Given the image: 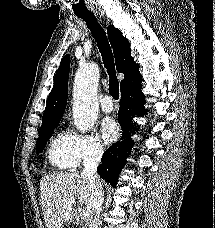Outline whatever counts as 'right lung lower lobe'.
<instances>
[{"label": "right lung lower lobe", "instance_id": "right-lung-lower-lobe-1", "mask_svg": "<svg viewBox=\"0 0 215 228\" xmlns=\"http://www.w3.org/2000/svg\"><path fill=\"white\" fill-rule=\"evenodd\" d=\"M142 77L140 74L128 78L121 88L120 108L118 112V121L123 134L121 139L112 144L104 153L102 164L97 168L99 175L116 187L118 176L126 163L128 155L133 145L131 134L138 131L133 122L134 116H141L147 110L143 107L144 95L141 91Z\"/></svg>", "mask_w": 215, "mask_h": 228}]
</instances>
